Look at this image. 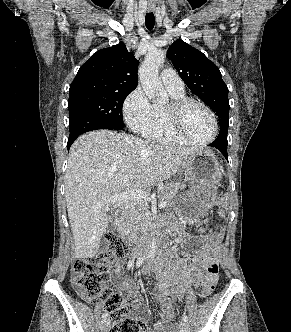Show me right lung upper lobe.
Masks as SVG:
<instances>
[{"label": "right lung upper lobe", "instance_id": "cb5924a9", "mask_svg": "<svg viewBox=\"0 0 291 332\" xmlns=\"http://www.w3.org/2000/svg\"><path fill=\"white\" fill-rule=\"evenodd\" d=\"M138 84L137 61L124 43L98 50L79 69L69 98L109 91H133Z\"/></svg>", "mask_w": 291, "mask_h": 332}]
</instances>
